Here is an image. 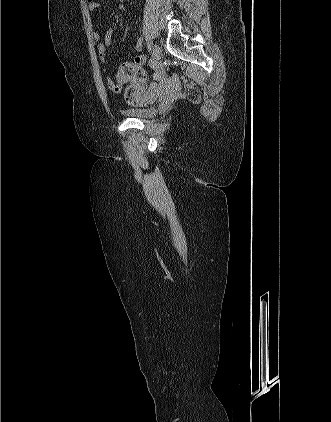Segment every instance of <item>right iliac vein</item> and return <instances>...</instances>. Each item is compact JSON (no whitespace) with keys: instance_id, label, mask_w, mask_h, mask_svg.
<instances>
[{"instance_id":"63e3f726","label":"right iliac vein","mask_w":331,"mask_h":422,"mask_svg":"<svg viewBox=\"0 0 331 422\" xmlns=\"http://www.w3.org/2000/svg\"><path fill=\"white\" fill-rule=\"evenodd\" d=\"M152 57H153V67L156 66L161 59V50L159 46L156 44L153 45V51H152Z\"/></svg>"}]
</instances>
